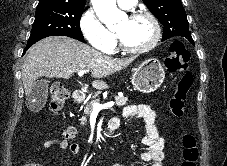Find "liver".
Returning a JSON list of instances; mask_svg holds the SVG:
<instances>
[{"label":"liver","mask_w":227,"mask_h":166,"mask_svg":"<svg viewBox=\"0 0 227 166\" xmlns=\"http://www.w3.org/2000/svg\"><path fill=\"white\" fill-rule=\"evenodd\" d=\"M133 57L118 59L105 55L78 40L66 36L46 37L34 44L22 67V81L28 96L39 77L68 79L74 73L91 71L92 86L103 89L100 79L126 68Z\"/></svg>","instance_id":"liver-1"}]
</instances>
